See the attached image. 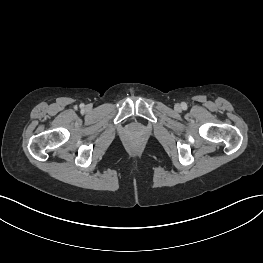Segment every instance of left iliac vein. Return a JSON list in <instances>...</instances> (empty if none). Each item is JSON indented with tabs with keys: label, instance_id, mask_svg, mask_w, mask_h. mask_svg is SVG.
Instances as JSON below:
<instances>
[{
	"label": "left iliac vein",
	"instance_id": "4c4485c4",
	"mask_svg": "<svg viewBox=\"0 0 263 263\" xmlns=\"http://www.w3.org/2000/svg\"><path fill=\"white\" fill-rule=\"evenodd\" d=\"M181 109V107L179 105L175 106V110L179 111Z\"/></svg>",
	"mask_w": 263,
	"mask_h": 263
}]
</instances>
